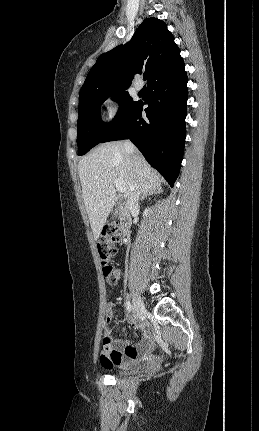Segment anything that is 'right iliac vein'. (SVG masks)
Segmentation results:
<instances>
[{"label": "right iliac vein", "instance_id": "obj_1", "mask_svg": "<svg viewBox=\"0 0 259 431\" xmlns=\"http://www.w3.org/2000/svg\"><path fill=\"white\" fill-rule=\"evenodd\" d=\"M144 311H145V306L142 299L137 294H134V297H133L134 318L138 319L143 314Z\"/></svg>", "mask_w": 259, "mask_h": 431}]
</instances>
